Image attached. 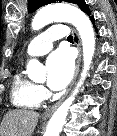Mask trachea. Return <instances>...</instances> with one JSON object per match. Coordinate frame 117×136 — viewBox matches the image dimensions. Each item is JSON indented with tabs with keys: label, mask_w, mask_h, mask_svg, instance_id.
<instances>
[{
	"label": "trachea",
	"mask_w": 117,
	"mask_h": 136,
	"mask_svg": "<svg viewBox=\"0 0 117 136\" xmlns=\"http://www.w3.org/2000/svg\"><path fill=\"white\" fill-rule=\"evenodd\" d=\"M67 39L72 41L73 40V36L69 35Z\"/></svg>",
	"instance_id": "3493384b"
}]
</instances>
